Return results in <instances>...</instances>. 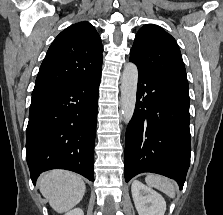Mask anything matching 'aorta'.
<instances>
[{
	"label": "aorta",
	"mask_w": 223,
	"mask_h": 215,
	"mask_svg": "<svg viewBox=\"0 0 223 215\" xmlns=\"http://www.w3.org/2000/svg\"><path fill=\"white\" fill-rule=\"evenodd\" d=\"M138 70L135 64H126L122 74L121 111L123 121H130L136 104Z\"/></svg>",
	"instance_id": "762f6f07"
}]
</instances>
